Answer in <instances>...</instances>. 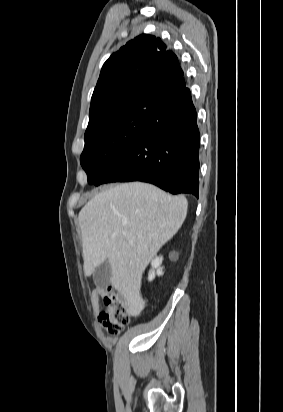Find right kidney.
I'll return each mask as SVG.
<instances>
[{
	"label": "right kidney",
	"mask_w": 283,
	"mask_h": 412,
	"mask_svg": "<svg viewBox=\"0 0 283 412\" xmlns=\"http://www.w3.org/2000/svg\"><path fill=\"white\" fill-rule=\"evenodd\" d=\"M163 261V257L159 256V257H155L152 262H151V266L152 269L149 272L148 275V280L152 281L155 278V275H163V267H161Z\"/></svg>",
	"instance_id": "ca27d5eb"
}]
</instances>
